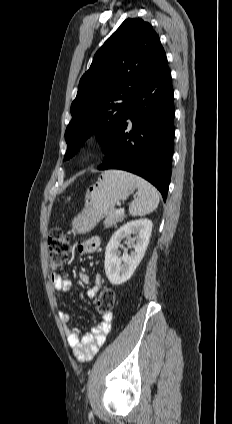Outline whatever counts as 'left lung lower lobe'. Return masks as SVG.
I'll use <instances>...</instances> for the list:
<instances>
[{
	"mask_svg": "<svg viewBox=\"0 0 232 424\" xmlns=\"http://www.w3.org/2000/svg\"><path fill=\"white\" fill-rule=\"evenodd\" d=\"M131 130L127 132L128 120ZM174 91L165 57L133 96L99 170L121 169L152 183L167 197L174 140Z\"/></svg>",
	"mask_w": 232,
	"mask_h": 424,
	"instance_id": "obj_1",
	"label": "left lung lower lobe"
}]
</instances>
